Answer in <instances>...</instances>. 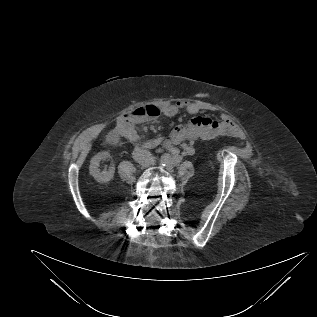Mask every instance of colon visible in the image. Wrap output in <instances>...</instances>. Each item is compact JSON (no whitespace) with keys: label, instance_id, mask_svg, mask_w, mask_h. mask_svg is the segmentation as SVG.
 I'll list each match as a JSON object with an SVG mask.
<instances>
[{"label":"colon","instance_id":"colon-1","mask_svg":"<svg viewBox=\"0 0 317 317\" xmlns=\"http://www.w3.org/2000/svg\"><path fill=\"white\" fill-rule=\"evenodd\" d=\"M160 110L155 105H144L136 108L134 111L130 113V115L134 118H156L159 116Z\"/></svg>","mask_w":317,"mask_h":317}]
</instances>
